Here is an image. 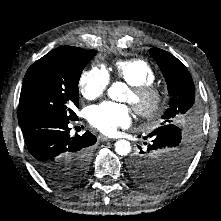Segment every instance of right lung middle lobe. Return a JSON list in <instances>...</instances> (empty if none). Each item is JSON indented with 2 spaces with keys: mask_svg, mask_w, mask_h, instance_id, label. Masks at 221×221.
Listing matches in <instances>:
<instances>
[{
  "mask_svg": "<svg viewBox=\"0 0 221 221\" xmlns=\"http://www.w3.org/2000/svg\"><path fill=\"white\" fill-rule=\"evenodd\" d=\"M96 53V50H87L76 56H44L36 61L24 77L18 108L19 124L41 115L74 119L76 115L72 109L79 104L78 81ZM89 152L90 147L66 156L60 165L46 168L42 176L60 187L79 183L86 175Z\"/></svg>",
  "mask_w": 221,
  "mask_h": 221,
  "instance_id": "1",
  "label": "right lung middle lobe"
}]
</instances>
